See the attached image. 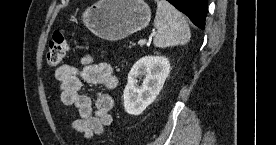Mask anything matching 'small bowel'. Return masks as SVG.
<instances>
[{"instance_id":"small-bowel-1","label":"small bowel","mask_w":276,"mask_h":145,"mask_svg":"<svg viewBox=\"0 0 276 145\" xmlns=\"http://www.w3.org/2000/svg\"><path fill=\"white\" fill-rule=\"evenodd\" d=\"M54 75L59 82L62 104L78 111L79 117L73 121L72 128L87 138L102 134L105 127L112 123L113 99L106 92H97L93 105L90 95L82 92V87L84 81L100 84L105 91L115 90L118 79L111 64L94 63L91 57L85 56L81 67L64 64L55 70Z\"/></svg>"}]
</instances>
